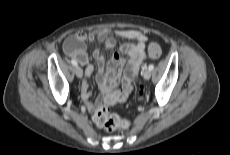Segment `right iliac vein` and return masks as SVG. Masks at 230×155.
<instances>
[{"mask_svg":"<svg viewBox=\"0 0 230 155\" xmlns=\"http://www.w3.org/2000/svg\"><path fill=\"white\" fill-rule=\"evenodd\" d=\"M74 72L78 78H82L83 70L79 66H75Z\"/></svg>","mask_w":230,"mask_h":155,"instance_id":"obj_1","label":"right iliac vein"}]
</instances>
